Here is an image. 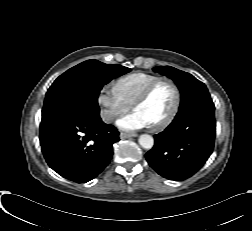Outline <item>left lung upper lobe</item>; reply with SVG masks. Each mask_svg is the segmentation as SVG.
Masks as SVG:
<instances>
[{"label":"left lung upper lobe","instance_id":"obj_1","mask_svg":"<svg viewBox=\"0 0 252 231\" xmlns=\"http://www.w3.org/2000/svg\"><path fill=\"white\" fill-rule=\"evenodd\" d=\"M153 70L174 80L179 86L181 92L180 108L195 101L212 100L206 86L191 74L170 66H158Z\"/></svg>","mask_w":252,"mask_h":231}]
</instances>
